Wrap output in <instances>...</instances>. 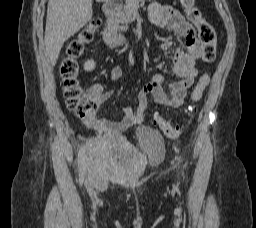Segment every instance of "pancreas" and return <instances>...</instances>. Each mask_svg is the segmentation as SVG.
<instances>
[{
  "label": "pancreas",
  "instance_id": "1",
  "mask_svg": "<svg viewBox=\"0 0 256 228\" xmlns=\"http://www.w3.org/2000/svg\"><path fill=\"white\" fill-rule=\"evenodd\" d=\"M145 0H126L123 11L119 12L110 21V26L113 31H126L128 29L125 24L131 21L135 11L139 8L140 2Z\"/></svg>",
  "mask_w": 256,
  "mask_h": 228
}]
</instances>
